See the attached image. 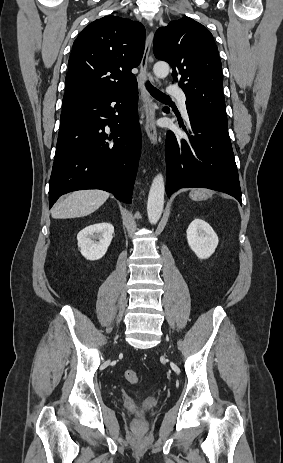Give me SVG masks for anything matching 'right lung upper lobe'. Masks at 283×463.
<instances>
[{
    "label": "right lung upper lobe",
    "instance_id": "1",
    "mask_svg": "<svg viewBox=\"0 0 283 463\" xmlns=\"http://www.w3.org/2000/svg\"><path fill=\"white\" fill-rule=\"evenodd\" d=\"M144 47L145 28L137 21L105 16L85 27L69 58L62 112L136 84L131 70Z\"/></svg>",
    "mask_w": 283,
    "mask_h": 463
}]
</instances>
